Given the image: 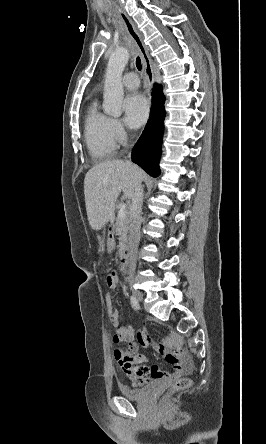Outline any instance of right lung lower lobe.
Listing matches in <instances>:
<instances>
[{
	"instance_id": "98d812e1",
	"label": "right lung lower lobe",
	"mask_w": 266,
	"mask_h": 444,
	"mask_svg": "<svg viewBox=\"0 0 266 444\" xmlns=\"http://www.w3.org/2000/svg\"><path fill=\"white\" fill-rule=\"evenodd\" d=\"M152 96L153 106L150 119L133 149L132 161L149 175L157 177L160 173L159 158L165 117V99L159 85L155 84Z\"/></svg>"
}]
</instances>
